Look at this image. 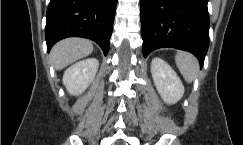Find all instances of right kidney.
Instances as JSON below:
<instances>
[{
  "mask_svg": "<svg viewBox=\"0 0 243 145\" xmlns=\"http://www.w3.org/2000/svg\"><path fill=\"white\" fill-rule=\"evenodd\" d=\"M99 61L88 58L70 66L63 75V84L72 95L82 94L93 81Z\"/></svg>",
  "mask_w": 243,
  "mask_h": 145,
  "instance_id": "1",
  "label": "right kidney"
}]
</instances>
